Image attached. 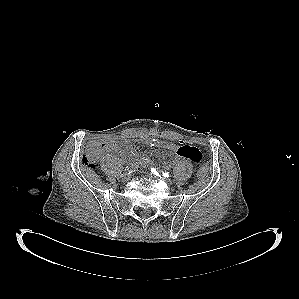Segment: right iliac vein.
<instances>
[{"label":"right iliac vein","instance_id":"63e3f726","mask_svg":"<svg viewBox=\"0 0 299 299\" xmlns=\"http://www.w3.org/2000/svg\"><path fill=\"white\" fill-rule=\"evenodd\" d=\"M121 181L122 182H127L130 180V175L129 174H122L121 177H120Z\"/></svg>","mask_w":299,"mask_h":299}]
</instances>
